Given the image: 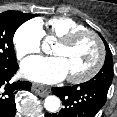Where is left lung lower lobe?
I'll list each match as a JSON object with an SVG mask.
<instances>
[{
	"label": "left lung lower lobe",
	"instance_id": "0a47b994",
	"mask_svg": "<svg viewBox=\"0 0 117 117\" xmlns=\"http://www.w3.org/2000/svg\"><path fill=\"white\" fill-rule=\"evenodd\" d=\"M64 108L59 113H46L45 117H94L105 104L108 91L88 83L68 87H54Z\"/></svg>",
	"mask_w": 117,
	"mask_h": 117
}]
</instances>
